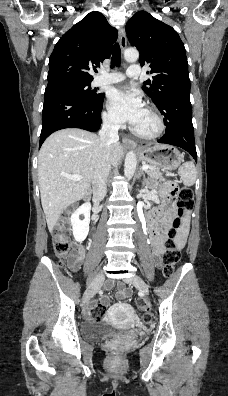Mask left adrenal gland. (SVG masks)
I'll return each instance as SVG.
<instances>
[{"mask_svg": "<svg viewBox=\"0 0 228 396\" xmlns=\"http://www.w3.org/2000/svg\"><path fill=\"white\" fill-rule=\"evenodd\" d=\"M141 176H143V183H142V185L144 186V185L146 184V182H147V179H146L145 173L143 172L142 169L139 170L137 177L140 178Z\"/></svg>", "mask_w": 228, "mask_h": 396, "instance_id": "left-adrenal-gland-1", "label": "left adrenal gland"}]
</instances>
